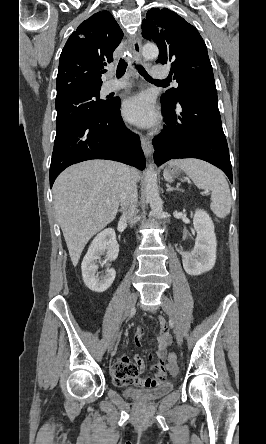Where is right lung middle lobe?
Wrapping results in <instances>:
<instances>
[{"mask_svg": "<svg viewBox=\"0 0 266 444\" xmlns=\"http://www.w3.org/2000/svg\"><path fill=\"white\" fill-rule=\"evenodd\" d=\"M99 90L76 91L57 97L55 107L57 110V131L74 123L90 120L105 114L111 108L112 101L99 98Z\"/></svg>", "mask_w": 266, "mask_h": 444, "instance_id": "right-lung-middle-lobe-1", "label": "right lung middle lobe"}]
</instances>
